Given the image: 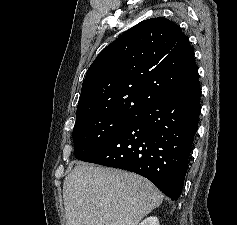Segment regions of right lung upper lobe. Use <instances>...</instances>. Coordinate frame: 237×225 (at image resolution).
<instances>
[{
  "label": "right lung upper lobe",
  "instance_id": "cb5924a9",
  "mask_svg": "<svg viewBox=\"0 0 237 225\" xmlns=\"http://www.w3.org/2000/svg\"><path fill=\"white\" fill-rule=\"evenodd\" d=\"M189 39L163 18L144 20L104 48L90 65L76 120L104 114H137L173 93L197 86Z\"/></svg>",
  "mask_w": 237,
  "mask_h": 225
}]
</instances>
